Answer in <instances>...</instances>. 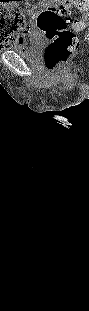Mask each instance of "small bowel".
Segmentation results:
<instances>
[{
    "mask_svg": "<svg viewBox=\"0 0 89 311\" xmlns=\"http://www.w3.org/2000/svg\"><path fill=\"white\" fill-rule=\"evenodd\" d=\"M30 27L28 24L23 23L16 32H11L9 35L10 40L14 43H20L25 39L27 33H29Z\"/></svg>",
    "mask_w": 89,
    "mask_h": 311,
    "instance_id": "c3829d8e",
    "label": "small bowel"
}]
</instances>
